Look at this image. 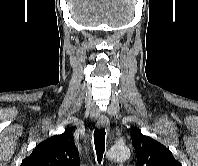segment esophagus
I'll return each instance as SVG.
<instances>
[{"label": "esophagus", "instance_id": "34e87169", "mask_svg": "<svg viewBox=\"0 0 198 166\" xmlns=\"http://www.w3.org/2000/svg\"><path fill=\"white\" fill-rule=\"evenodd\" d=\"M97 127L98 128H104V127H109V119L107 116L105 115H101L98 120H97V123H96Z\"/></svg>", "mask_w": 198, "mask_h": 166}]
</instances>
